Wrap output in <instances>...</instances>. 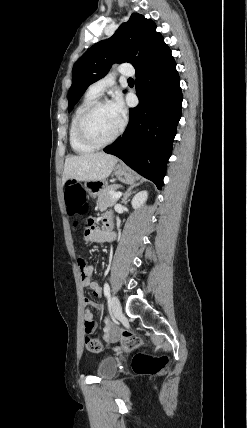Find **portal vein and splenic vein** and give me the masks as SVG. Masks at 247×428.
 I'll use <instances>...</instances> for the list:
<instances>
[{"instance_id": "1", "label": "portal vein and splenic vein", "mask_w": 247, "mask_h": 428, "mask_svg": "<svg viewBox=\"0 0 247 428\" xmlns=\"http://www.w3.org/2000/svg\"><path fill=\"white\" fill-rule=\"evenodd\" d=\"M122 196V192H114L112 194V199H118Z\"/></svg>"}]
</instances>
